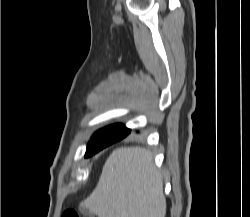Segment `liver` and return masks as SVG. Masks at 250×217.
I'll return each mask as SVG.
<instances>
[{"mask_svg": "<svg viewBox=\"0 0 250 217\" xmlns=\"http://www.w3.org/2000/svg\"><path fill=\"white\" fill-rule=\"evenodd\" d=\"M81 206L98 217H165L163 179L151 152L138 146L115 149Z\"/></svg>", "mask_w": 250, "mask_h": 217, "instance_id": "liver-1", "label": "liver"}]
</instances>
